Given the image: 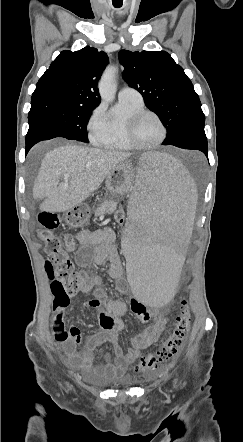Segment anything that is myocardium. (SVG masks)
I'll return each mask as SVG.
<instances>
[{
    "label": "myocardium",
    "instance_id": "obj_1",
    "mask_svg": "<svg viewBox=\"0 0 243 442\" xmlns=\"http://www.w3.org/2000/svg\"><path fill=\"white\" fill-rule=\"evenodd\" d=\"M147 115H151V116L155 117L162 128V135H161L160 139L157 142L150 144V145H146V144H142V143L138 142L136 139V136H135V130H136L138 122L144 116H147ZM167 134H168V129H167V126H166L164 120L162 119V117L157 112L150 110V109H143V110L136 112L128 119L127 124H126L127 140L131 146H133L134 148H137V149H144V150L156 149L164 143V141L167 138Z\"/></svg>",
    "mask_w": 243,
    "mask_h": 442
}]
</instances>
